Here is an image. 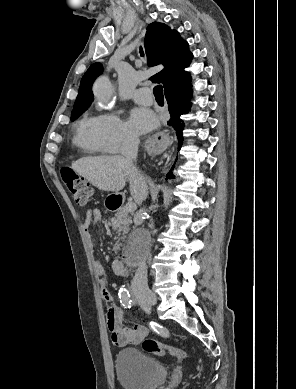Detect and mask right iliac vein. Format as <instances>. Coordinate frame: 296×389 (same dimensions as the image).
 Wrapping results in <instances>:
<instances>
[{
	"label": "right iliac vein",
	"mask_w": 296,
	"mask_h": 389,
	"mask_svg": "<svg viewBox=\"0 0 296 389\" xmlns=\"http://www.w3.org/2000/svg\"><path fill=\"white\" fill-rule=\"evenodd\" d=\"M143 302L146 303V304H156L157 298L154 295H150L148 297H145L143 299Z\"/></svg>",
	"instance_id": "1"
}]
</instances>
